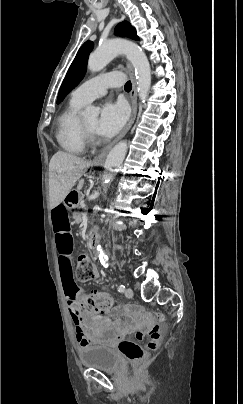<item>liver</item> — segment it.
<instances>
[{
    "mask_svg": "<svg viewBox=\"0 0 243 404\" xmlns=\"http://www.w3.org/2000/svg\"><path fill=\"white\" fill-rule=\"evenodd\" d=\"M91 166L82 158H77L67 152H56L49 164V204L50 208H56L67 194L71 192L75 182L83 176L85 170ZM84 180L79 182L77 188H83Z\"/></svg>",
    "mask_w": 243,
    "mask_h": 404,
    "instance_id": "obj_1",
    "label": "liver"
}]
</instances>
